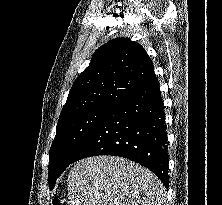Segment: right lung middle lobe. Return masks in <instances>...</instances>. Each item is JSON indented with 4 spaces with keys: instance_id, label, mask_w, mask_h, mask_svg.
<instances>
[{
    "instance_id": "right-lung-middle-lobe-1",
    "label": "right lung middle lobe",
    "mask_w": 222,
    "mask_h": 205,
    "mask_svg": "<svg viewBox=\"0 0 222 205\" xmlns=\"http://www.w3.org/2000/svg\"><path fill=\"white\" fill-rule=\"evenodd\" d=\"M116 104L94 106L58 121L56 136L49 153L50 186L55 184L56 179L72 163L77 151Z\"/></svg>"
}]
</instances>
